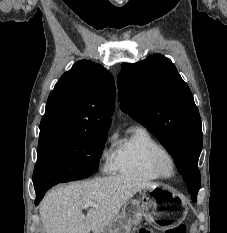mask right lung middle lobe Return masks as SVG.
I'll return each instance as SVG.
<instances>
[{
	"mask_svg": "<svg viewBox=\"0 0 227 233\" xmlns=\"http://www.w3.org/2000/svg\"><path fill=\"white\" fill-rule=\"evenodd\" d=\"M107 132L54 130L40 133L34 188L86 178L98 169Z\"/></svg>",
	"mask_w": 227,
	"mask_h": 233,
	"instance_id": "1",
	"label": "right lung middle lobe"
}]
</instances>
